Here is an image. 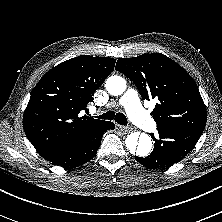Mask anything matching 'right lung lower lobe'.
Segmentation results:
<instances>
[{"instance_id":"98d812e1","label":"right lung lower lobe","mask_w":222,"mask_h":222,"mask_svg":"<svg viewBox=\"0 0 222 222\" xmlns=\"http://www.w3.org/2000/svg\"><path fill=\"white\" fill-rule=\"evenodd\" d=\"M114 128V123L105 121L90 131L82 141L66 148L42 154L41 156L58 166L65 168L78 167L95 156L100 147L104 132Z\"/></svg>"}]
</instances>
